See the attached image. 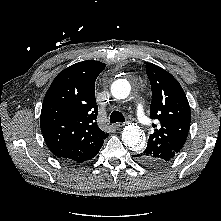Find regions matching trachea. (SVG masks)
<instances>
[{
  "label": "trachea",
  "mask_w": 221,
  "mask_h": 221,
  "mask_svg": "<svg viewBox=\"0 0 221 221\" xmlns=\"http://www.w3.org/2000/svg\"><path fill=\"white\" fill-rule=\"evenodd\" d=\"M110 122L111 123H116V122H125V117L124 115L119 112V111H113L110 115Z\"/></svg>",
  "instance_id": "3493384b"
}]
</instances>
